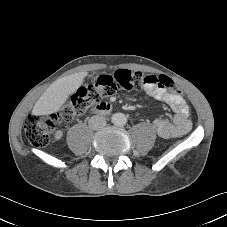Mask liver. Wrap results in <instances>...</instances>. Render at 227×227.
<instances>
[{
  "instance_id": "liver-1",
  "label": "liver",
  "mask_w": 227,
  "mask_h": 227,
  "mask_svg": "<svg viewBox=\"0 0 227 227\" xmlns=\"http://www.w3.org/2000/svg\"><path fill=\"white\" fill-rule=\"evenodd\" d=\"M88 72L71 74L54 81L37 100L33 115H49L59 111L69 96L82 85Z\"/></svg>"
}]
</instances>
